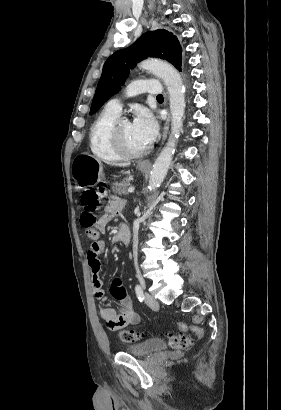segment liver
<instances>
[{
  "mask_svg": "<svg viewBox=\"0 0 281 410\" xmlns=\"http://www.w3.org/2000/svg\"><path fill=\"white\" fill-rule=\"evenodd\" d=\"M113 165L119 166V167H127V166L130 165V163H116V164H113Z\"/></svg>",
  "mask_w": 281,
  "mask_h": 410,
  "instance_id": "obj_1",
  "label": "liver"
}]
</instances>
